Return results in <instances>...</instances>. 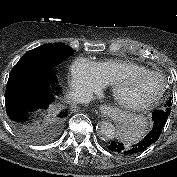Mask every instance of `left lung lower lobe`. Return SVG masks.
I'll return each instance as SVG.
<instances>
[{
    "label": "left lung lower lobe",
    "mask_w": 177,
    "mask_h": 177,
    "mask_svg": "<svg viewBox=\"0 0 177 177\" xmlns=\"http://www.w3.org/2000/svg\"><path fill=\"white\" fill-rule=\"evenodd\" d=\"M153 115V127L152 130L147 134V136L139 143L127 147L123 143L112 141L111 144L108 146V149L115 153L124 154V155H131L135 153H139L145 149H147L150 145L155 143L166 124L168 116L170 115V111L168 110H156L152 113Z\"/></svg>",
    "instance_id": "obj_1"
}]
</instances>
